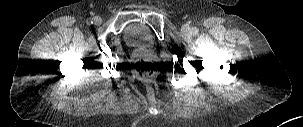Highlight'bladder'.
<instances>
[{"label": "bladder", "instance_id": "bladder-1", "mask_svg": "<svg viewBox=\"0 0 303 127\" xmlns=\"http://www.w3.org/2000/svg\"><path fill=\"white\" fill-rule=\"evenodd\" d=\"M125 42L133 48L150 49L154 40L150 30L141 24H131L124 31Z\"/></svg>", "mask_w": 303, "mask_h": 127}]
</instances>
